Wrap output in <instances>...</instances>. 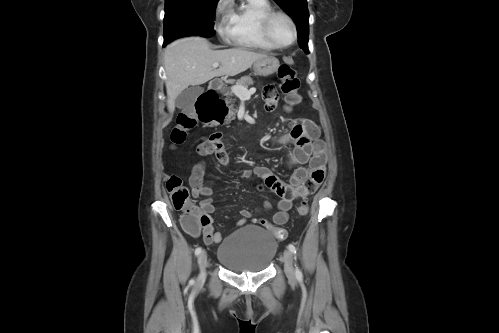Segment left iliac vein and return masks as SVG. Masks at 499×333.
<instances>
[{"instance_id": "4c4485c4", "label": "left iliac vein", "mask_w": 499, "mask_h": 333, "mask_svg": "<svg viewBox=\"0 0 499 333\" xmlns=\"http://www.w3.org/2000/svg\"><path fill=\"white\" fill-rule=\"evenodd\" d=\"M284 267L287 277L295 280V271L293 267V255L290 250H285L283 255Z\"/></svg>"}]
</instances>
